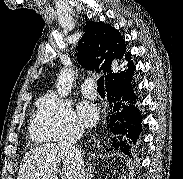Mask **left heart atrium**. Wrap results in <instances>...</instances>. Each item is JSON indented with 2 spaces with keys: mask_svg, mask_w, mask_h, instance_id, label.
<instances>
[{
  "mask_svg": "<svg viewBox=\"0 0 183 179\" xmlns=\"http://www.w3.org/2000/svg\"><path fill=\"white\" fill-rule=\"evenodd\" d=\"M78 113L82 122L86 126H92L98 120V110L96 106L88 101H82L78 105Z\"/></svg>",
  "mask_w": 183,
  "mask_h": 179,
  "instance_id": "39dd6f15",
  "label": "left heart atrium"
}]
</instances>
